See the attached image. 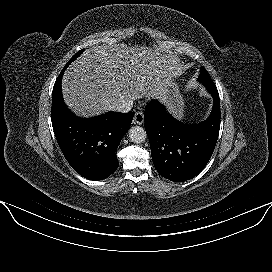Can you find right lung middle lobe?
<instances>
[{
  "instance_id": "1",
  "label": "right lung middle lobe",
  "mask_w": 272,
  "mask_h": 272,
  "mask_svg": "<svg viewBox=\"0 0 272 272\" xmlns=\"http://www.w3.org/2000/svg\"><path fill=\"white\" fill-rule=\"evenodd\" d=\"M83 52V50L79 51L78 53H76L71 60L66 64V66L64 67V69L62 70V73H64L65 68L72 62L74 61L81 53Z\"/></svg>"
}]
</instances>
